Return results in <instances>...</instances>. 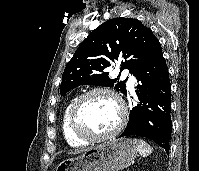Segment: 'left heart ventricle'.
<instances>
[{
  "mask_svg": "<svg viewBox=\"0 0 199 171\" xmlns=\"http://www.w3.org/2000/svg\"><path fill=\"white\" fill-rule=\"evenodd\" d=\"M120 119L115 100L106 94L87 98L81 108V124L90 133L102 135L113 130Z\"/></svg>",
  "mask_w": 199,
  "mask_h": 171,
  "instance_id": "1",
  "label": "left heart ventricle"
}]
</instances>
